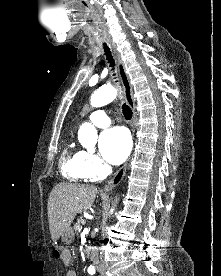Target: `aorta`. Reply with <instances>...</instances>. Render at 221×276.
Returning a JSON list of instances; mask_svg holds the SVG:
<instances>
[{"label":"aorta","mask_w":221,"mask_h":276,"mask_svg":"<svg viewBox=\"0 0 221 276\" xmlns=\"http://www.w3.org/2000/svg\"><path fill=\"white\" fill-rule=\"evenodd\" d=\"M117 96V90L112 86H103L94 92L90 103L93 107H102L112 102ZM97 130L91 123H83L78 131V139L85 148H92L97 142ZM113 212V209L111 210Z\"/></svg>","instance_id":"aorta-1"}]
</instances>
